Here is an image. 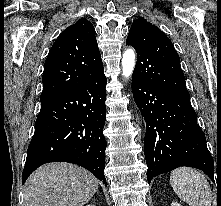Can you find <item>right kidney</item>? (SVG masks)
<instances>
[{
  "mask_svg": "<svg viewBox=\"0 0 221 206\" xmlns=\"http://www.w3.org/2000/svg\"><path fill=\"white\" fill-rule=\"evenodd\" d=\"M86 206H95V205H93V204H88V205H86Z\"/></svg>",
  "mask_w": 221,
  "mask_h": 206,
  "instance_id": "1",
  "label": "right kidney"
}]
</instances>
